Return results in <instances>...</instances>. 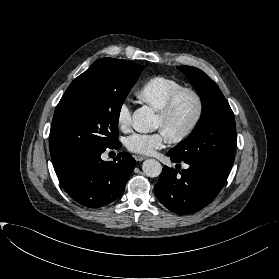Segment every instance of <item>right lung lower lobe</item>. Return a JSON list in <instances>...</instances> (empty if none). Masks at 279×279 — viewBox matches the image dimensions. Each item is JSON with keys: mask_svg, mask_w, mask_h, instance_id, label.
Returning <instances> with one entry per match:
<instances>
[{"mask_svg": "<svg viewBox=\"0 0 279 279\" xmlns=\"http://www.w3.org/2000/svg\"><path fill=\"white\" fill-rule=\"evenodd\" d=\"M120 147L121 143L118 141L109 149ZM105 150L53 161L60 184L82 206L100 208L118 199L135 168L134 158L126 152L119 153L113 161H103L101 154Z\"/></svg>", "mask_w": 279, "mask_h": 279, "instance_id": "98d812e1", "label": "right lung lower lobe"}]
</instances>
